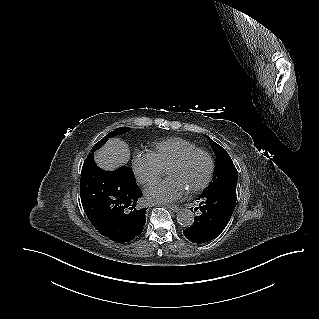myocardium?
Wrapping results in <instances>:
<instances>
[{"mask_svg":"<svg viewBox=\"0 0 319 319\" xmlns=\"http://www.w3.org/2000/svg\"><path fill=\"white\" fill-rule=\"evenodd\" d=\"M196 155H203L207 162H208V172L207 175L205 177V179L196 187L189 189V191L191 193H197L203 189H205L211 182L213 174H214V160L212 158V156L210 155L209 152H207L204 149H193V150H189L187 152H185L182 156H180L178 159H176L175 161H173L168 167L167 170L170 168H174V167H179L183 164H185L189 159H191L192 157L196 156Z\"/></svg>","mask_w":319,"mask_h":319,"instance_id":"f54148a6","label":"myocardium"}]
</instances>
